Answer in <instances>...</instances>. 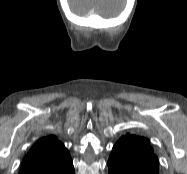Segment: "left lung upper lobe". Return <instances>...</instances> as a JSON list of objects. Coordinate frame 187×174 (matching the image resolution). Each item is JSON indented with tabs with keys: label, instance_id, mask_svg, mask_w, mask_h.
Wrapping results in <instances>:
<instances>
[{
	"label": "left lung upper lobe",
	"instance_id": "left-lung-upper-lobe-1",
	"mask_svg": "<svg viewBox=\"0 0 187 174\" xmlns=\"http://www.w3.org/2000/svg\"><path fill=\"white\" fill-rule=\"evenodd\" d=\"M108 164L135 170L148 174H159L158 158L150 146V141L144 137L126 134L113 146Z\"/></svg>",
	"mask_w": 187,
	"mask_h": 174
}]
</instances>
